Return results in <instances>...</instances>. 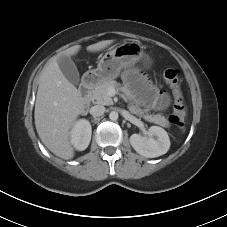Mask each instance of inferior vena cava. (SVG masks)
<instances>
[{
  "instance_id": "inferior-vena-cava-1",
  "label": "inferior vena cava",
  "mask_w": 227,
  "mask_h": 227,
  "mask_svg": "<svg viewBox=\"0 0 227 227\" xmlns=\"http://www.w3.org/2000/svg\"><path fill=\"white\" fill-rule=\"evenodd\" d=\"M105 113V107L102 105H95L90 109V114L93 116H102Z\"/></svg>"
}]
</instances>
